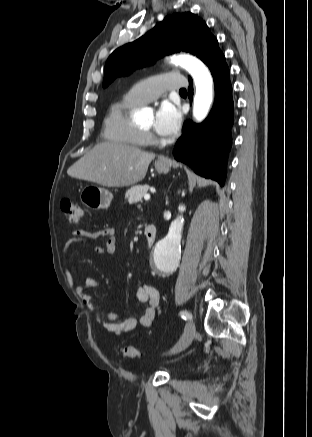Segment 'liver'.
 I'll list each match as a JSON object with an SVG mask.
<instances>
[{"label":"liver","mask_w":312,"mask_h":437,"mask_svg":"<svg viewBox=\"0 0 312 437\" xmlns=\"http://www.w3.org/2000/svg\"><path fill=\"white\" fill-rule=\"evenodd\" d=\"M154 158V153L135 146L102 142L75 162L67 173L102 186L125 187L142 181Z\"/></svg>","instance_id":"6515ba94"}]
</instances>
